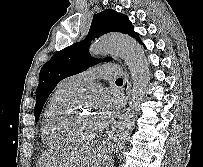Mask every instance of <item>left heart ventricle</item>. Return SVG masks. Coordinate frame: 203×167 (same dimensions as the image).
Listing matches in <instances>:
<instances>
[{"mask_svg": "<svg viewBox=\"0 0 203 167\" xmlns=\"http://www.w3.org/2000/svg\"><path fill=\"white\" fill-rule=\"evenodd\" d=\"M70 128L79 135H89L101 129L96 112L89 107L84 98L79 99L75 105Z\"/></svg>", "mask_w": 203, "mask_h": 167, "instance_id": "obj_1", "label": "left heart ventricle"}]
</instances>
